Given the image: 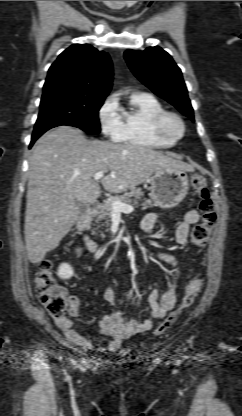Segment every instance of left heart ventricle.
Returning <instances> with one entry per match:
<instances>
[{
    "mask_svg": "<svg viewBox=\"0 0 242 416\" xmlns=\"http://www.w3.org/2000/svg\"><path fill=\"white\" fill-rule=\"evenodd\" d=\"M167 128L173 134H177L179 132V127L174 121H170L167 125Z\"/></svg>",
    "mask_w": 242,
    "mask_h": 416,
    "instance_id": "left-heart-ventricle-1",
    "label": "left heart ventricle"
}]
</instances>
